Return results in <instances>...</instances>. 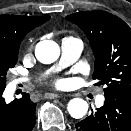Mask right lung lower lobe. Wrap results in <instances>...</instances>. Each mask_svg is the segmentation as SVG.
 I'll use <instances>...</instances> for the list:
<instances>
[{
  "label": "right lung lower lobe",
  "instance_id": "obj_1",
  "mask_svg": "<svg viewBox=\"0 0 131 131\" xmlns=\"http://www.w3.org/2000/svg\"><path fill=\"white\" fill-rule=\"evenodd\" d=\"M0 90V131H32L35 125L36 103L27 93L22 98L6 104Z\"/></svg>",
  "mask_w": 131,
  "mask_h": 131
}]
</instances>
